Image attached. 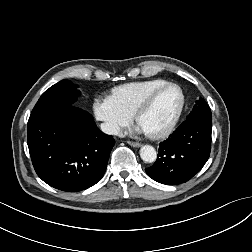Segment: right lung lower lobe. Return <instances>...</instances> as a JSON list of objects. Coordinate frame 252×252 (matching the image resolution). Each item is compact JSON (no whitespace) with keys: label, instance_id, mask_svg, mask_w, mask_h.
Returning a JSON list of instances; mask_svg holds the SVG:
<instances>
[{"label":"right lung lower lobe","instance_id":"98d812e1","mask_svg":"<svg viewBox=\"0 0 252 252\" xmlns=\"http://www.w3.org/2000/svg\"><path fill=\"white\" fill-rule=\"evenodd\" d=\"M112 136L101 132L83 109L67 105L28 120V148L37 175L69 192L85 190L104 175Z\"/></svg>","mask_w":252,"mask_h":252}]
</instances>
